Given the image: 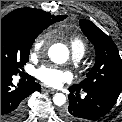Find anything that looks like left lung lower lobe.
<instances>
[{
	"instance_id": "left-lung-lower-lobe-1",
	"label": "left lung lower lobe",
	"mask_w": 122,
	"mask_h": 122,
	"mask_svg": "<svg viewBox=\"0 0 122 122\" xmlns=\"http://www.w3.org/2000/svg\"><path fill=\"white\" fill-rule=\"evenodd\" d=\"M69 106L62 112L67 122H89L105 116L116 103L119 92L107 89L86 90V97L81 99L78 90L70 87Z\"/></svg>"
}]
</instances>
